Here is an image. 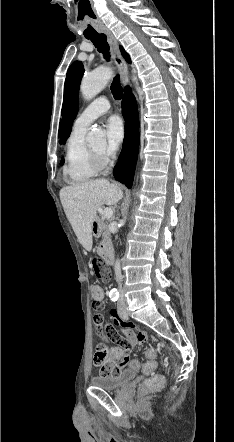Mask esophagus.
I'll use <instances>...</instances> for the list:
<instances>
[{
	"label": "esophagus",
	"mask_w": 234,
	"mask_h": 442,
	"mask_svg": "<svg viewBox=\"0 0 234 442\" xmlns=\"http://www.w3.org/2000/svg\"><path fill=\"white\" fill-rule=\"evenodd\" d=\"M103 31L107 36V40H108V43L110 46L113 60L119 68L121 82H122L123 86H126L128 83L127 64L124 61V59L120 53L118 42H117L115 36L113 35V33L109 29H104Z\"/></svg>",
	"instance_id": "esophagus-1"
}]
</instances>
